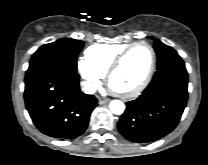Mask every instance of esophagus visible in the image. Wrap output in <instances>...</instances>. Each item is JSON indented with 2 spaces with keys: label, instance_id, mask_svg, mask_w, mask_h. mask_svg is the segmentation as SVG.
I'll list each match as a JSON object with an SVG mask.
<instances>
[{
  "label": "esophagus",
  "instance_id": "34e87169",
  "mask_svg": "<svg viewBox=\"0 0 208 165\" xmlns=\"http://www.w3.org/2000/svg\"><path fill=\"white\" fill-rule=\"evenodd\" d=\"M109 102V99H106V98H99V104H106Z\"/></svg>",
  "mask_w": 208,
  "mask_h": 165
}]
</instances>
